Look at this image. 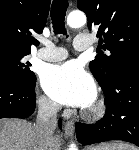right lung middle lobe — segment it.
<instances>
[{
	"label": "right lung middle lobe",
	"instance_id": "obj_1",
	"mask_svg": "<svg viewBox=\"0 0 139 150\" xmlns=\"http://www.w3.org/2000/svg\"><path fill=\"white\" fill-rule=\"evenodd\" d=\"M28 54L30 52L0 47V78L26 85L36 82L35 73L29 68L31 63L25 60Z\"/></svg>",
	"mask_w": 139,
	"mask_h": 150
}]
</instances>
